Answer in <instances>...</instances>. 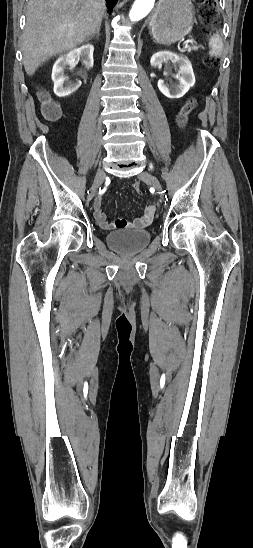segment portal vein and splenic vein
Listing matches in <instances>:
<instances>
[{
  "instance_id": "18ae733b",
  "label": "portal vein and splenic vein",
  "mask_w": 253,
  "mask_h": 548,
  "mask_svg": "<svg viewBox=\"0 0 253 548\" xmlns=\"http://www.w3.org/2000/svg\"><path fill=\"white\" fill-rule=\"evenodd\" d=\"M186 47H187L188 50H191V49H193V50H198V46H197V45H193V44H192V45H189V44H186Z\"/></svg>"
}]
</instances>
